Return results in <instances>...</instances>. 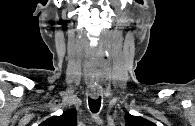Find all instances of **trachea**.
<instances>
[{
	"instance_id": "3493384b",
	"label": "trachea",
	"mask_w": 195,
	"mask_h": 126,
	"mask_svg": "<svg viewBox=\"0 0 195 126\" xmlns=\"http://www.w3.org/2000/svg\"><path fill=\"white\" fill-rule=\"evenodd\" d=\"M101 106V98H97V99H92L89 98V108L91 110V112L93 113H97L100 109Z\"/></svg>"
}]
</instances>
